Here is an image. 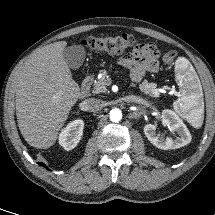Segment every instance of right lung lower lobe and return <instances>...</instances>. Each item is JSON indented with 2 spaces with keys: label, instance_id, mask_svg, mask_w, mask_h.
<instances>
[{
  "label": "right lung lower lobe",
  "instance_id": "1",
  "mask_svg": "<svg viewBox=\"0 0 215 215\" xmlns=\"http://www.w3.org/2000/svg\"><path fill=\"white\" fill-rule=\"evenodd\" d=\"M39 165H41V166H44L45 168H47V166L44 164V163H38Z\"/></svg>",
  "mask_w": 215,
  "mask_h": 215
}]
</instances>
